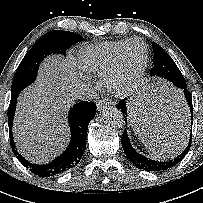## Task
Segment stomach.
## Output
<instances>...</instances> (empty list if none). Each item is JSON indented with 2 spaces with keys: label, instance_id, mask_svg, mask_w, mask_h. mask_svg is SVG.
Segmentation results:
<instances>
[{
  "label": "stomach",
  "instance_id": "obj_1",
  "mask_svg": "<svg viewBox=\"0 0 203 203\" xmlns=\"http://www.w3.org/2000/svg\"><path fill=\"white\" fill-rule=\"evenodd\" d=\"M136 100H141V102H147V95L146 94H142V95H138ZM153 109V107L147 102L146 105V112L151 114V110Z\"/></svg>",
  "mask_w": 203,
  "mask_h": 203
}]
</instances>
